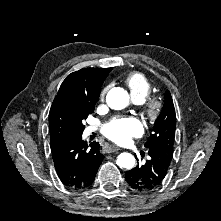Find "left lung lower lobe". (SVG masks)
Listing matches in <instances>:
<instances>
[{"label": "left lung lower lobe", "mask_w": 221, "mask_h": 221, "mask_svg": "<svg viewBox=\"0 0 221 221\" xmlns=\"http://www.w3.org/2000/svg\"><path fill=\"white\" fill-rule=\"evenodd\" d=\"M151 157L144 165L136 166L125 174L129 186L138 192H149L159 187L164 180L173 154L163 148L149 149Z\"/></svg>", "instance_id": "obj_1"}]
</instances>
